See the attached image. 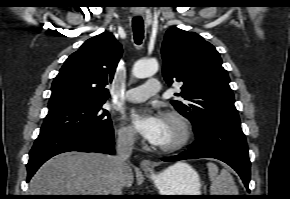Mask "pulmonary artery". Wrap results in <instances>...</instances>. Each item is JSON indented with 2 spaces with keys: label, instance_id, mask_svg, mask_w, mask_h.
<instances>
[{
  "label": "pulmonary artery",
  "instance_id": "obj_1",
  "mask_svg": "<svg viewBox=\"0 0 290 199\" xmlns=\"http://www.w3.org/2000/svg\"><path fill=\"white\" fill-rule=\"evenodd\" d=\"M161 91V83L157 79H151L144 85L128 89L124 99L130 102H142Z\"/></svg>",
  "mask_w": 290,
  "mask_h": 199
}]
</instances>
